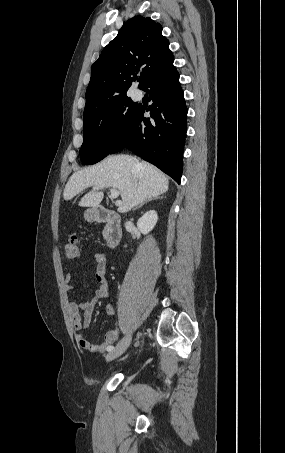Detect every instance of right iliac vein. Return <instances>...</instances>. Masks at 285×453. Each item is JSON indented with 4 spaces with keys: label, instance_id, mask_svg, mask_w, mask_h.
<instances>
[{
    "label": "right iliac vein",
    "instance_id": "obj_1",
    "mask_svg": "<svg viewBox=\"0 0 285 453\" xmlns=\"http://www.w3.org/2000/svg\"><path fill=\"white\" fill-rule=\"evenodd\" d=\"M132 340V332H129L125 337H123L120 342L112 349L106 356V361L110 362L119 356H121L126 349L129 347Z\"/></svg>",
    "mask_w": 285,
    "mask_h": 453
}]
</instances>
